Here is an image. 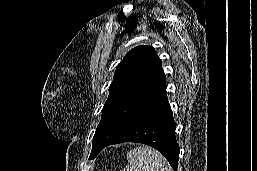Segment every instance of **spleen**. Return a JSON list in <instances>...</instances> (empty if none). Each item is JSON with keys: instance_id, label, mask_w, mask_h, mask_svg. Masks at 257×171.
Instances as JSON below:
<instances>
[{"instance_id": "3e777b00", "label": "spleen", "mask_w": 257, "mask_h": 171, "mask_svg": "<svg viewBox=\"0 0 257 171\" xmlns=\"http://www.w3.org/2000/svg\"><path fill=\"white\" fill-rule=\"evenodd\" d=\"M127 160L129 164L122 171H173L164 156L148 146L130 150Z\"/></svg>"}]
</instances>
